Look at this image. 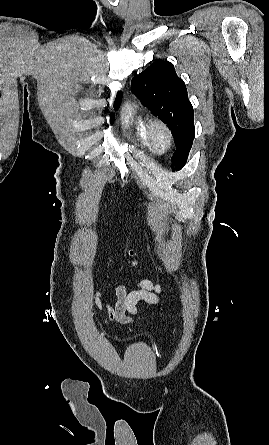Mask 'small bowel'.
Instances as JSON below:
<instances>
[{
  "instance_id": "1",
  "label": "small bowel",
  "mask_w": 269,
  "mask_h": 445,
  "mask_svg": "<svg viewBox=\"0 0 269 445\" xmlns=\"http://www.w3.org/2000/svg\"><path fill=\"white\" fill-rule=\"evenodd\" d=\"M162 288L160 285L152 282L150 279H141L136 284V289L127 291L123 284L116 287V304L115 306H105L101 300V292L95 295V303L99 308H106L108 316L111 320L121 324H131L134 317L139 314V302H145L150 305L159 303V294Z\"/></svg>"
}]
</instances>
